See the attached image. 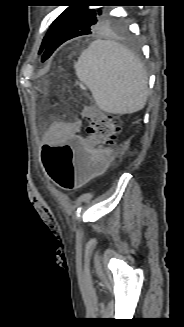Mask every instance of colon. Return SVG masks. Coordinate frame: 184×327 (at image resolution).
Returning a JSON list of instances; mask_svg holds the SVG:
<instances>
[{"label": "colon", "mask_w": 184, "mask_h": 327, "mask_svg": "<svg viewBox=\"0 0 184 327\" xmlns=\"http://www.w3.org/2000/svg\"><path fill=\"white\" fill-rule=\"evenodd\" d=\"M84 115L89 125L78 145L45 144L42 161L51 180L66 191L82 186L92 175L107 166L113 152L108 147L120 131L118 118L87 106Z\"/></svg>", "instance_id": "1"}]
</instances>
